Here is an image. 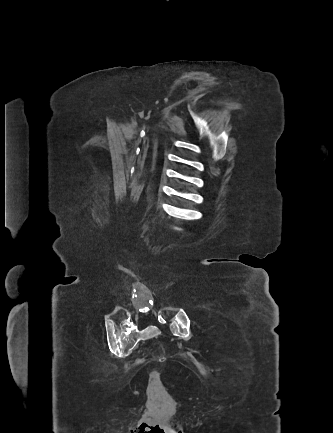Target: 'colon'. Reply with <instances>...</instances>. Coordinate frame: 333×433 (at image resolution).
Masks as SVG:
<instances>
[{
  "label": "colon",
  "instance_id": "obj_1",
  "mask_svg": "<svg viewBox=\"0 0 333 433\" xmlns=\"http://www.w3.org/2000/svg\"><path fill=\"white\" fill-rule=\"evenodd\" d=\"M153 397L159 403L166 402L169 399V393L159 378H156L153 382Z\"/></svg>",
  "mask_w": 333,
  "mask_h": 433
}]
</instances>
